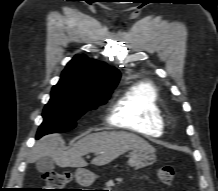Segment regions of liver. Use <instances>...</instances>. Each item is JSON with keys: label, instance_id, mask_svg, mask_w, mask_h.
I'll return each mask as SVG.
<instances>
[{"label": "liver", "instance_id": "obj_1", "mask_svg": "<svg viewBox=\"0 0 218 191\" xmlns=\"http://www.w3.org/2000/svg\"><path fill=\"white\" fill-rule=\"evenodd\" d=\"M64 141L58 134L41 138L32 149L28 162L32 163L42 157H50L60 167H85L82 158L88 153H95L92 164L106 165L129 150L155 149L141 137L128 132L102 131L84 136L70 149L63 150Z\"/></svg>", "mask_w": 218, "mask_h": 191}]
</instances>
